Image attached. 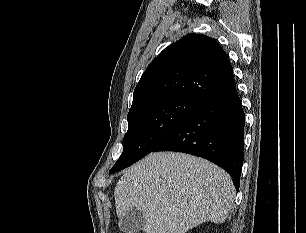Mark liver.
I'll return each mask as SVG.
<instances>
[{"instance_id": "obj_1", "label": "liver", "mask_w": 306, "mask_h": 233, "mask_svg": "<svg viewBox=\"0 0 306 233\" xmlns=\"http://www.w3.org/2000/svg\"><path fill=\"white\" fill-rule=\"evenodd\" d=\"M235 195L223 169L174 152L150 153L124 171L114 190L117 216L140 211L146 233H186L205 222L223 223Z\"/></svg>"}]
</instances>
